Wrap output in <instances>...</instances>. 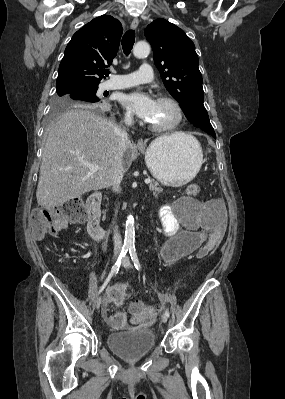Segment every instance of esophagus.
<instances>
[{"instance_id":"esophagus-1","label":"esophagus","mask_w":285,"mask_h":399,"mask_svg":"<svg viewBox=\"0 0 285 399\" xmlns=\"http://www.w3.org/2000/svg\"><path fill=\"white\" fill-rule=\"evenodd\" d=\"M138 24H139V20L137 18H134L132 20V22H131V28L133 30H135L138 27ZM137 147L138 148H145V142L142 139L138 140Z\"/></svg>"}]
</instances>
